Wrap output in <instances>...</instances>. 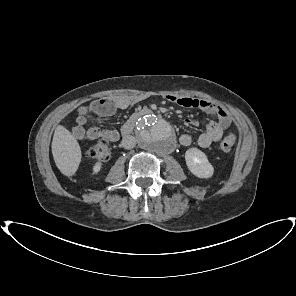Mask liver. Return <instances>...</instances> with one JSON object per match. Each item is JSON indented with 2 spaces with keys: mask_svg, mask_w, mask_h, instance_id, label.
I'll use <instances>...</instances> for the list:
<instances>
[{
  "mask_svg": "<svg viewBox=\"0 0 296 296\" xmlns=\"http://www.w3.org/2000/svg\"><path fill=\"white\" fill-rule=\"evenodd\" d=\"M51 148L60 172L65 176L74 175L81 162V148L75 137L64 126L56 127Z\"/></svg>",
  "mask_w": 296,
  "mask_h": 296,
  "instance_id": "6515ba94",
  "label": "liver"
}]
</instances>
